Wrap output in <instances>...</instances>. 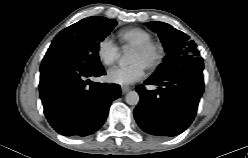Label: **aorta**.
<instances>
[{"label": "aorta", "mask_w": 248, "mask_h": 158, "mask_svg": "<svg viewBox=\"0 0 248 158\" xmlns=\"http://www.w3.org/2000/svg\"><path fill=\"white\" fill-rule=\"evenodd\" d=\"M127 62H128L127 55H124L119 59V64L121 66L127 64ZM139 100L140 97L136 91H130L125 96V101L129 105H137L139 103Z\"/></svg>", "instance_id": "1"}]
</instances>
